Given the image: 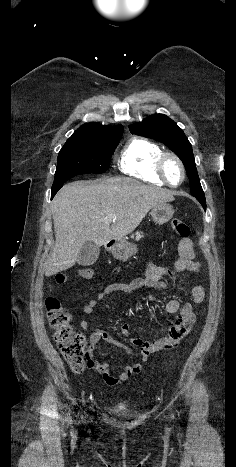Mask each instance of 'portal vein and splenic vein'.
Returning a JSON list of instances; mask_svg holds the SVG:
<instances>
[{
	"instance_id": "18ae733b",
	"label": "portal vein and splenic vein",
	"mask_w": 236,
	"mask_h": 467,
	"mask_svg": "<svg viewBox=\"0 0 236 467\" xmlns=\"http://www.w3.org/2000/svg\"><path fill=\"white\" fill-rule=\"evenodd\" d=\"M109 218H110L111 220H115V219H116V216H115V215H110Z\"/></svg>"
}]
</instances>
